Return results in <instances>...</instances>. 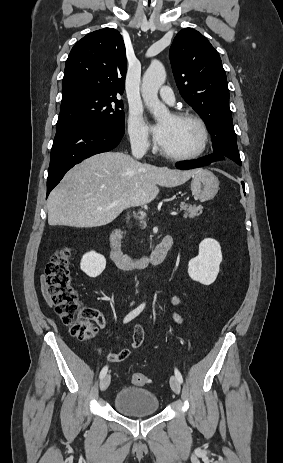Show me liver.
<instances>
[{
	"label": "liver",
	"mask_w": 283,
	"mask_h": 463,
	"mask_svg": "<svg viewBox=\"0 0 283 463\" xmlns=\"http://www.w3.org/2000/svg\"><path fill=\"white\" fill-rule=\"evenodd\" d=\"M198 171L157 167L121 152L94 155L68 171L52 190L48 224L77 228L109 224L124 209L153 201L158 185L179 186Z\"/></svg>",
	"instance_id": "6515ba94"
}]
</instances>
